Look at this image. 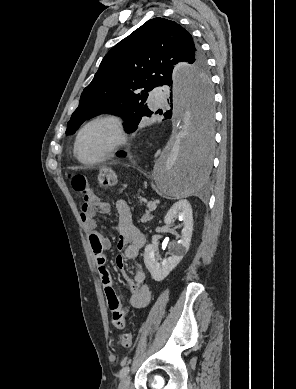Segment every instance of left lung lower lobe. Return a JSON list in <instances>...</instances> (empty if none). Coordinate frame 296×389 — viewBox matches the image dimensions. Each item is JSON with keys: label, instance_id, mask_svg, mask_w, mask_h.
I'll return each mask as SVG.
<instances>
[{"label": "left lung lower lobe", "instance_id": "1", "mask_svg": "<svg viewBox=\"0 0 296 389\" xmlns=\"http://www.w3.org/2000/svg\"><path fill=\"white\" fill-rule=\"evenodd\" d=\"M164 85H168L172 89V82H167ZM193 89L205 115H212L213 98H211L210 87L200 89L198 87V82H195ZM177 101L178 97L174 88V92H172V90L170 92L168 103L172 107L173 102L176 104ZM172 114V109H170L164 113V117L170 119ZM210 123L211 122L205 123L200 132H192L181 153L180 158L184 165V174L195 180L203 178L210 166L211 140L207 135V127ZM125 155L126 153L123 151L117 153V156Z\"/></svg>", "mask_w": 296, "mask_h": 389}]
</instances>
